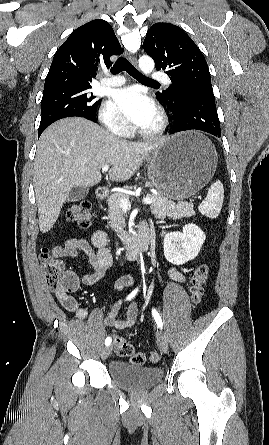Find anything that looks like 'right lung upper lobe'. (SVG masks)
Instances as JSON below:
<instances>
[{
	"mask_svg": "<svg viewBox=\"0 0 269 445\" xmlns=\"http://www.w3.org/2000/svg\"><path fill=\"white\" fill-rule=\"evenodd\" d=\"M122 52L107 21H90L73 31L54 54L44 91L69 86H91L99 64L110 66V56Z\"/></svg>",
	"mask_w": 269,
	"mask_h": 445,
	"instance_id": "right-lung-upper-lobe-1",
	"label": "right lung upper lobe"
}]
</instances>
